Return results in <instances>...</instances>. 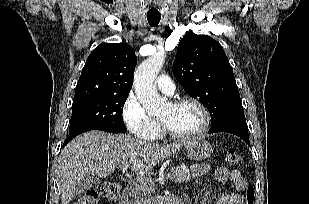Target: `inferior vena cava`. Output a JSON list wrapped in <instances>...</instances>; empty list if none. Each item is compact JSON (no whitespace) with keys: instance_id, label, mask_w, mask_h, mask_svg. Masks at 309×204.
Masks as SVG:
<instances>
[{"instance_id":"obj_1","label":"inferior vena cava","mask_w":309,"mask_h":204,"mask_svg":"<svg viewBox=\"0 0 309 204\" xmlns=\"http://www.w3.org/2000/svg\"><path fill=\"white\" fill-rule=\"evenodd\" d=\"M135 204H142V203H140V202H137V203H135Z\"/></svg>"}]
</instances>
